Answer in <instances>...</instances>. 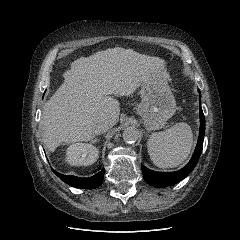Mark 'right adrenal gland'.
<instances>
[{"mask_svg": "<svg viewBox=\"0 0 240 240\" xmlns=\"http://www.w3.org/2000/svg\"><path fill=\"white\" fill-rule=\"evenodd\" d=\"M91 142H92V143L99 142V139H97V138H92V139H91Z\"/></svg>", "mask_w": 240, "mask_h": 240, "instance_id": "obj_1", "label": "right adrenal gland"}]
</instances>
